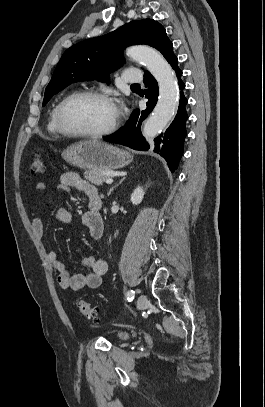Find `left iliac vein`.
Here are the masks:
<instances>
[{
  "instance_id": "left-iliac-vein-1",
  "label": "left iliac vein",
  "mask_w": 265,
  "mask_h": 407,
  "mask_svg": "<svg viewBox=\"0 0 265 407\" xmlns=\"http://www.w3.org/2000/svg\"><path fill=\"white\" fill-rule=\"evenodd\" d=\"M147 303H148V301H147L146 296L144 294L139 295V297L137 298V301H136L137 309L138 310L145 309L147 306Z\"/></svg>"
}]
</instances>
